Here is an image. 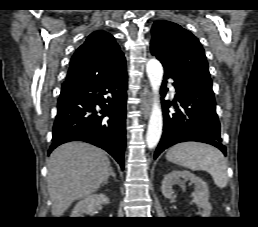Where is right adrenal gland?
I'll list each match as a JSON object with an SVG mask.
<instances>
[{
  "instance_id": "1",
  "label": "right adrenal gland",
  "mask_w": 258,
  "mask_h": 227,
  "mask_svg": "<svg viewBox=\"0 0 258 227\" xmlns=\"http://www.w3.org/2000/svg\"><path fill=\"white\" fill-rule=\"evenodd\" d=\"M110 175L115 179L116 178V175H115V173L113 172V169L112 168H110ZM104 184H107V181L104 183Z\"/></svg>"
}]
</instances>
